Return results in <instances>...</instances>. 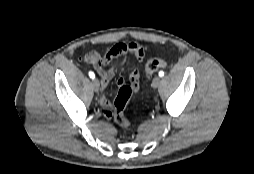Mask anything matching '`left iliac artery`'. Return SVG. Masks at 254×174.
<instances>
[{"instance_id":"obj_1","label":"left iliac artery","mask_w":254,"mask_h":174,"mask_svg":"<svg viewBox=\"0 0 254 174\" xmlns=\"http://www.w3.org/2000/svg\"><path fill=\"white\" fill-rule=\"evenodd\" d=\"M159 76H160V77H163V76H164V72H163V71H160V72H159Z\"/></svg>"}]
</instances>
